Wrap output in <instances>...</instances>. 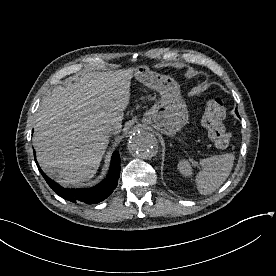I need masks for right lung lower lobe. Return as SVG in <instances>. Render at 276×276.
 <instances>
[{"instance_id":"obj_1","label":"right lung lower lobe","mask_w":276,"mask_h":276,"mask_svg":"<svg viewBox=\"0 0 276 276\" xmlns=\"http://www.w3.org/2000/svg\"><path fill=\"white\" fill-rule=\"evenodd\" d=\"M38 168L48 185L62 198L74 203L81 201L85 202L86 204H93L103 201L116 188L120 175V157L119 153L115 152L112 156L111 166L107 178L98 185L88 189L63 188L59 184L51 180L49 177H47V175L40 169L39 166Z\"/></svg>"}]
</instances>
